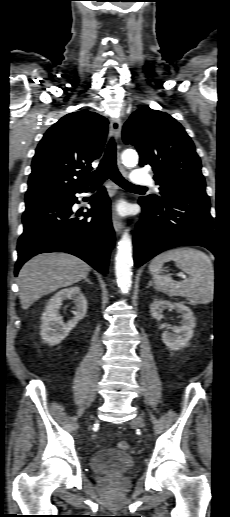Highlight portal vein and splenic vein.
I'll return each mask as SVG.
<instances>
[{
  "label": "portal vein and splenic vein",
  "mask_w": 230,
  "mask_h": 517,
  "mask_svg": "<svg viewBox=\"0 0 230 517\" xmlns=\"http://www.w3.org/2000/svg\"><path fill=\"white\" fill-rule=\"evenodd\" d=\"M179 276H180L182 279H185V278H186V276H185L184 274H182V273H180V274H179Z\"/></svg>",
  "instance_id": "18ae733b"
}]
</instances>
